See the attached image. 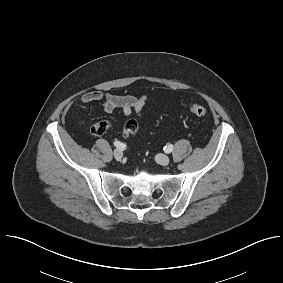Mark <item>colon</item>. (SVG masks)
I'll return each mask as SVG.
<instances>
[{
	"label": "colon",
	"mask_w": 283,
	"mask_h": 283,
	"mask_svg": "<svg viewBox=\"0 0 283 283\" xmlns=\"http://www.w3.org/2000/svg\"><path fill=\"white\" fill-rule=\"evenodd\" d=\"M190 112L197 116V117H204L207 115V110L205 107L198 105V104H193L189 107ZM131 125H136V123L131 122ZM109 128V123L107 121H101L97 122L92 126V133L95 135H102L106 132V130Z\"/></svg>",
	"instance_id": "obj_1"
}]
</instances>
